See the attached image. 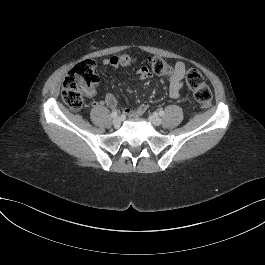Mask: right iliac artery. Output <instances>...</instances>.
<instances>
[{
	"label": "right iliac artery",
	"mask_w": 265,
	"mask_h": 265,
	"mask_svg": "<svg viewBox=\"0 0 265 265\" xmlns=\"http://www.w3.org/2000/svg\"><path fill=\"white\" fill-rule=\"evenodd\" d=\"M117 115H118L117 111H113V112L111 113V117H112V118H116Z\"/></svg>",
	"instance_id": "right-iliac-artery-1"
}]
</instances>
